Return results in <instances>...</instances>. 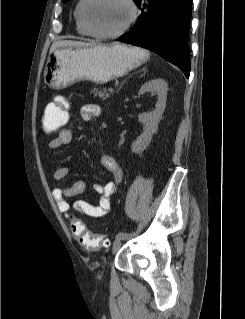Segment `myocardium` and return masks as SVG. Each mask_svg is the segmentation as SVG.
Returning a JSON list of instances; mask_svg holds the SVG:
<instances>
[{"mask_svg":"<svg viewBox=\"0 0 245 319\" xmlns=\"http://www.w3.org/2000/svg\"><path fill=\"white\" fill-rule=\"evenodd\" d=\"M125 3L128 5L129 10H130V16L128 21L117 31L115 32H111V33H102V32H98L96 31L90 24L89 20H88V7L90 5V3L92 2V0H84L82 9H81V18H82V22L86 28V30L88 31V33L96 38L99 39H115L118 38L120 36H122L124 33H126L131 27L132 25L135 23L137 16H138V7L135 3V0H124Z\"/></svg>","mask_w":245,"mask_h":319,"instance_id":"myocardium-1","label":"myocardium"}]
</instances>
